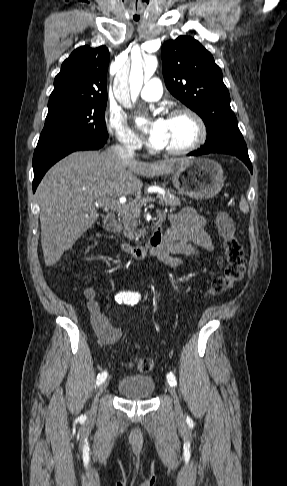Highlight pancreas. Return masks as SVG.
Instances as JSON below:
<instances>
[{"mask_svg":"<svg viewBox=\"0 0 287 486\" xmlns=\"http://www.w3.org/2000/svg\"><path fill=\"white\" fill-rule=\"evenodd\" d=\"M157 198L159 199L160 204L169 206L172 210L181 205L180 198L176 197L169 190H167L164 195L158 194ZM144 199L146 198H142L140 195H137L134 200L130 201L128 204H125L122 209L119 210L118 231L122 232L123 235L130 240H138L145 234V230L137 229L141 201Z\"/></svg>","mask_w":287,"mask_h":486,"instance_id":"pancreas-1","label":"pancreas"}]
</instances>
